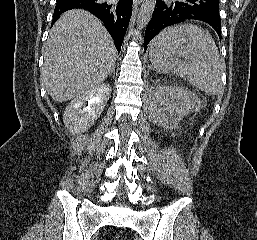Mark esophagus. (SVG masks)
Segmentation results:
<instances>
[{
	"label": "esophagus",
	"mask_w": 257,
	"mask_h": 240,
	"mask_svg": "<svg viewBox=\"0 0 257 240\" xmlns=\"http://www.w3.org/2000/svg\"><path fill=\"white\" fill-rule=\"evenodd\" d=\"M141 2H142V0H133V3H134L135 5H139Z\"/></svg>",
	"instance_id": "34e87169"
}]
</instances>
